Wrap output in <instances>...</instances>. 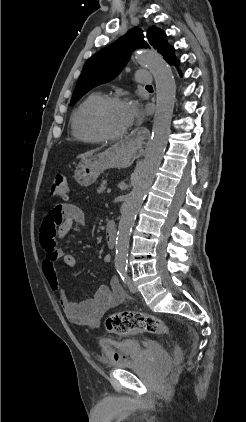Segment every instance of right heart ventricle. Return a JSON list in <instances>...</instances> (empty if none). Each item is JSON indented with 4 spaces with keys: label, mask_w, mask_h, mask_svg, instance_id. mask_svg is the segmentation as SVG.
Returning a JSON list of instances; mask_svg holds the SVG:
<instances>
[{
    "label": "right heart ventricle",
    "mask_w": 246,
    "mask_h": 422,
    "mask_svg": "<svg viewBox=\"0 0 246 422\" xmlns=\"http://www.w3.org/2000/svg\"><path fill=\"white\" fill-rule=\"evenodd\" d=\"M103 97L100 92H92L76 107L71 116L73 136L87 143H100L103 139L94 131L89 121L92 106Z\"/></svg>",
    "instance_id": "1"
}]
</instances>
